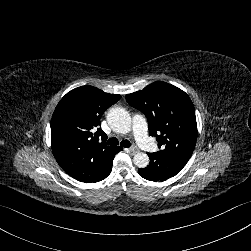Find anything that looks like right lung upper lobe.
I'll return each mask as SVG.
<instances>
[{
	"instance_id": "cb5924a9",
	"label": "right lung upper lobe",
	"mask_w": 251,
	"mask_h": 251,
	"mask_svg": "<svg viewBox=\"0 0 251 251\" xmlns=\"http://www.w3.org/2000/svg\"><path fill=\"white\" fill-rule=\"evenodd\" d=\"M120 98L93 86H82L58 103L51 120L52 151L58 164L78 181L99 179L122 149L108 147L107 136L99 128L104 111Z\"/></svg>"
}]
</instances>
